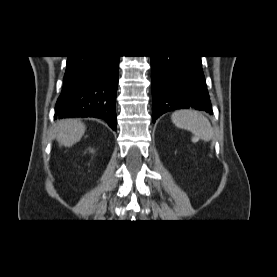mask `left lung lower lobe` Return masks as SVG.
I'll return each instance as SVG.
<instances>
[{
  "instance_id": "left-lung-lower-lobe-1",
  "label": "left lung lower lobe",
  "mask_w": 277,
  "mask_h": 277,
  "mask_svg": "<svg viewBox=\"0 0 277 277\" xmlns=\"http://www.w3.org/2000/svg\"><path fill=\"white\" fill-rule=\"evenodd\" d=\"M151 79L153 122L180 108L213 113L200 56H151Z\"/></svg>"
}]
</instances>
